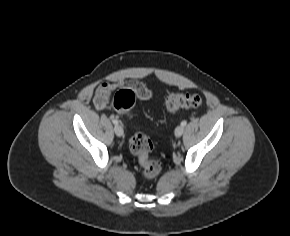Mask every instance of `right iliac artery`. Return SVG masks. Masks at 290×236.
I'll return each mask as SVG.
<instances>
[{
	"label": "right iliac artery",
	"mask_w": 290,
	"mask_h": 236,
	"mask_svg": "<svg viewBox=\"0 0 290 236\" xmlns=\"http://www.w3.org/2000/svg\"><path fill=\"white\" fill-rule=\"evenodd\" d=\"M112 122H113V124H115V125L118 124V120H116V119H113Z\"/></svg>",
	"instance_id": "82829eb1"
}]
</instances>
